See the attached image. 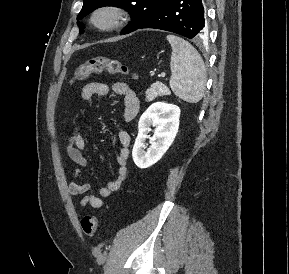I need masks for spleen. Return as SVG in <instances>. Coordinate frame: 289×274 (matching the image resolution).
<instances>
[{
    "mask_svg": "<svg viewBox=\"0 0 289 274\" xmlns=\"http://www.w3.org/2000/svg\"><path fill=\"white\" fill-rule=\"evenodd\" d=\"M171 54L170 87L180 99L189 102H199L205 90L206 69L197 50L187 41L175 35H167Z\"/></svg>",
    "mask_w": 289,
    "mask_h": 274,
    "instance_id": "spleen-1",
    "label": "spleen"
}]
</instances>
